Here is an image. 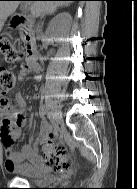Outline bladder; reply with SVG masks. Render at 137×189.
Returning <instances> with one entry per match:
<instances>
[{
  "mask_svg": "<svg viewBox=\"0 0 137 189\" xmlns=\"http://www.w3.org/2000/svg\"><path fill=\"white\" fill-rule=\"evenodd\" d=\"M23 176L28 180H37L44 184H54L56 182L55 175L45 168H35L23 174Z\"/></svg>",
  "mask_w": 137,
  "mask_h": 189,
  "instance_id": "31cf9c89",
  "label": "bladder"
}]
</instances>
